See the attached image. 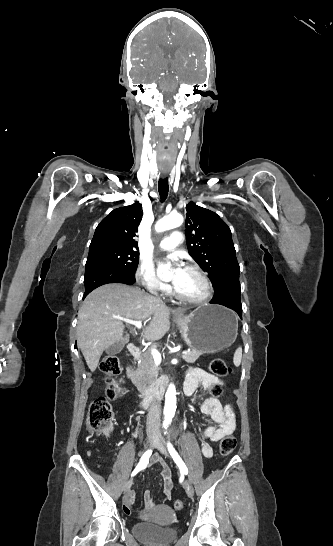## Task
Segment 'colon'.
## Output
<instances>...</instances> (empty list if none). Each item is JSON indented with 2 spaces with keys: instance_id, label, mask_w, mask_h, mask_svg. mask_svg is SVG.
Returning a JSON list of instances; mask_svg holds the SVG:
<instances>
[{
  "instance_id": "1",
  "label": "colon",
  "mask_w": 333,
  "mask_h": 546,
  "mask_svg": "<svg viewBox=\"0 0 333 546\" xmlns=\"http://www.w3.org/2000/svg\"><path fill=\"white\" fill-rule=\"evenodd\" d=\"M101 371L107 376V395L93 400L88 407L87 429L90 434H101L110 430L114 422L110 400L120 396L124 390L116 376L120 372L119 360L116 356L104 357L100 362ZM209 370L216 377H225L231 373V367L223 359H213L209 364ZM212 398L219 397L221 388L217 385L209 387ZM237 440L232 434L226 435L220 441L219 452L222 456H228L236 448ZM176 510H181L184 503L181 500L174 502Z\"/></svg>"
}]
</instances>
